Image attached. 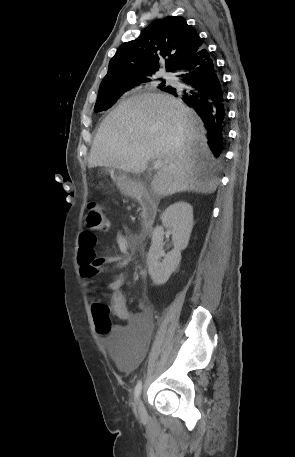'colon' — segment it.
<instances>
[{
  "mask_svg": "<svg viewBox=\"0 0 295 457\" xmlns=\"http://www.w3.org/2000/svg\"><path fill=\"white\" fill-rule=\"evenodd\" d=\"M85 226L91 231H105L109 227L108 217L99 200H91L86 207ZM97 269L87 261H81L80 272L85 278L91 279L95 276ZM93 318L97 332L100 335H107L111 330L110 309L100 299L94 301L92 307Z\"/></svg>",
  "mask_w": 295,
  "mask_h": 457,
  "instance_id": "obj_1",
  "label": "colon"
}]
</instances>
